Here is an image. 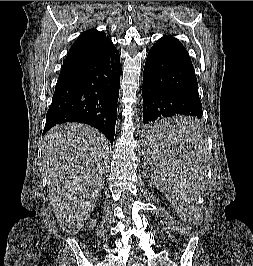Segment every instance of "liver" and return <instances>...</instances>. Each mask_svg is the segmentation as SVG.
Listing matches in <instances>:
<instances>
[{"mask_svg":"<svg viewBox=\"0 0 253 266\" xmlns=\"http://www.w3.org/2000/svg\"><path fill=\"white\" fill-rule=\"evenodd\" d=\"M42 152L54 214L63 231L74 235L100 197L109 142L91 126L69 123L47 133Z\"/></svg>","mask_w":253,"mask_h":266,"instance_id":"obj_1","label":"liver"}]
</instances>
